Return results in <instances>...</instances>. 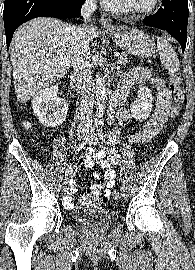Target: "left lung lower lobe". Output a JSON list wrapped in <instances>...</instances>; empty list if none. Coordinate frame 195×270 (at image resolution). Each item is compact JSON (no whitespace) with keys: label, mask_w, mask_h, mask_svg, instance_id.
<instances>
[{"label":"left lung lower lobe","mask_w":195,"mask_h":270,"mask_svg":"<svg viewBox=\"0 0 195 270\" xmlns=\"http://www.w3.org/2000/svg\"><path fill=\"white\" fill-rule=\"evenodd\" d=\"M158 12L143 20L148 26L170 33L181 45L184 52L187 42L188 2L187 0H162Z\"/></svg>","instance_id":"obj_1"}]
</instances>
